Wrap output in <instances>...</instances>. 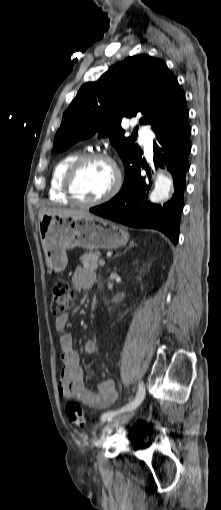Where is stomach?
I'll return each instance as SVG.
<instances>
[{"label": "stomach", "instance_id": "obj_1", "mask_svg": "<svg viewBox=\"0 0 221 510\" xmlns=\"http://www.w3.org/2000/svg\"><path fill=\"white\" fill-rule=\"evenodd\" d=\"M39 234L45 259L50 269H65L67 250L114 249L129 240V233L120 225L99 217L72 218L45 214L39 220Z\"/></svg>", "mask_w": 221, "mask_h": 510}]
</instances>
